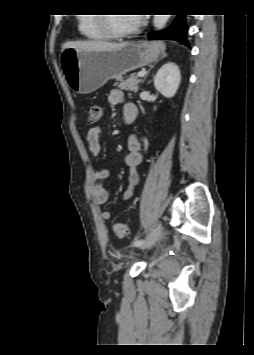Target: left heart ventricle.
<instances>
[{
    "mask_svg": "<svg viewBox=\"0 0 254 355\" xmlns=\"http://www.w3.org/2000/svg\"><path fill=\"white\" fill-rule=\"evenodd\" d=\"M109 24L115 32L130 30L137 25L135 18L127 14L110 15Z\"/></svg>",
    "mask_w": 254,
    "mask_h": 355,
    "instance_id": "left-heart-ventricle-1",
    "label": "left heart ventricle"
}]
</instances>
